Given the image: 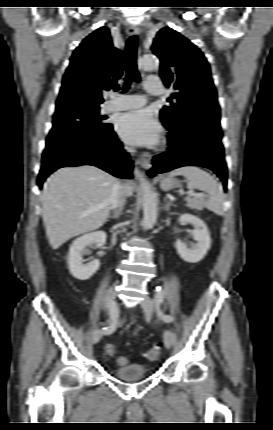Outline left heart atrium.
Returning a JSON list of instances; mask_svg holds the SVG:
<instances>
[{"label":"left heart atrium","mask_w":273,"mask_h":430,"mask_svg":"<svg viewBox=\"0 0 273 430\" xmlns=\"http://www.w3.org/2000/svg\"><path fill=\"white\" fill-rule=\"evenodd\" d=\"M117 130L124 140L132 144L152 145L161 137V127L148 109L123 114Z\"/></svg>","instance_id":"obj_1"}]
</instances>
